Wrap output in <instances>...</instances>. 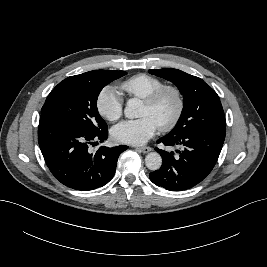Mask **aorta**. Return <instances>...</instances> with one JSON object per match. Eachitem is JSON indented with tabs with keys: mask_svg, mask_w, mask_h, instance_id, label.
<instances>
[{
	"mask_svg": "<svg viewBox=\"0 0 267 267\" xmlns=\"http://www.w3.org/2000/svg\"><path fill=\"white\" fill-rule=\"evenodd\" d=\"M141 106H142V103L139 99H136V98L130 99L127 102L126 107L124 109L125 116L129 119L140 117ZM145 164L147 168L150 170H153V171L158 170L162 165L161 155L157 152L148 153L145 158Z\"/></svg>",
	"mask_w": 267,
	"mask_h": 267,
	"instance_id": "1",
	"label": "aorta"
}]
</instances>
